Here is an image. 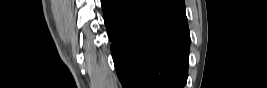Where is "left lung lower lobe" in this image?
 Here are the masks:
<instances>
[{
	"instance_id": "0a47b994",
	"label": "left lung lower lobe",
	"mask_w": 267,
	"mask_h": 88,
	"mask_svg": "<svg viewBox=\"0 0 267 88\" xmlns=\"http://www.w3.org/2000/svg\"><path fill=\"white\" fill-rule=\"evenodd\" d=\"M123 88H183L190 35L184 0H102Z\"/></svg>"
}]
</instances>
